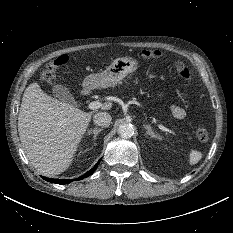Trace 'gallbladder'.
I'll list each match as a JSON object with an SVG mask.
<instances>
[{
	"mask_svg": "<svg viewBox=\"0 0 233 233\" xmlns=\"http://www.w3.org/2000/svg\"><path fill=\"white\" fill-rule=\"evenodd\" d=\"M52 91H53L54 96L57 97L62 102H65L71 105L76 104L72 94L69 92V90L66 87L62 85H54L52 88Z\"/></svg>",
	"mask_w": 233,
	"mask_h": 233,
	"instance_id": "gallbladder-1",
	"label": "gallbladder"
}]
</instances>
